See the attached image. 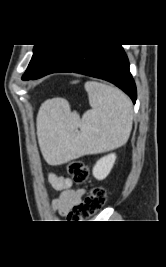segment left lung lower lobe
I'll list each match as a JSON object with an SVG mask.
<instances>
[{"label": "left lung lower lobe", "mask_w": 166, "mask_h": 267, "mask_svg": "<svg viewBox=\"0 0 166 267\" xmlns=\"http://www.w3.org/2000/svg\"><path fill=\"white\" fill-rule=\"evenodd\" d=\"M57 72H74L109 81L136 101V86L121 45H57L32 80Z\"/></svg>", "instance_id": "0a47b994"}]
</instances>
